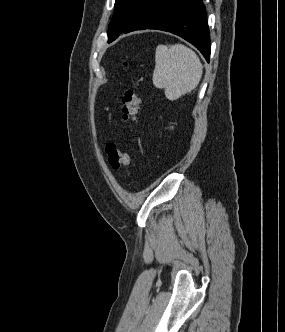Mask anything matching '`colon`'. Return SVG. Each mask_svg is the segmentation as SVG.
<instances>
[{
  "mask_svg": "<svg viewBox=\"0 0 285 332\" xmlns=\"http://www.w3.org/2000/svg\"><path fill=\"white\" fill-rule=\"evenodd\" d=\"M141 108V98L134 88H128L121 99V115L125 122H135ZM106 154L110 166L115 169H123L131 165L133 157L114 144L106 146Z\"/></svg>",
  "mask_w": 285,
  "mask_h": 332,
  "instance_id": "5ec220e1",
  "label": "colon"
}]
</instances>
